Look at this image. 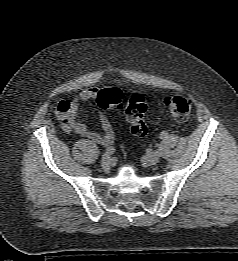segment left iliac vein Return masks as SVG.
<instances>
[{
    "label": "left iliac vein",
    "mask_w": 238,
    "mask_h": 261,
    "mask_svg": "<svg viewBox=\"0 0 238 261\" xmlns=\"http://www.w3.org/2000/svg\"><path fill=\"white\" fill-rule=\"evenodd\" d=\"M160 154L158 151L149 152L146 156L143 158V162L145 165H155L159 162Z\"/></svg>",
    "instance_id": "1"
}]
</instances>
